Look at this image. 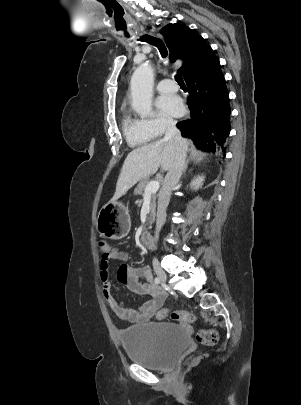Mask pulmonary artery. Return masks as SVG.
Listing matches in <instances>:
<instances>
[{"label":"pulmonary artery","instance_id":"1","mask_svg":"<svg viewBox=\"0 0 301 405\" xmlns=\"http://www.w3.org/2000/svg\"><path fill=\"white\" fill-rule=\"evenodd\" d=\"M156 89L160 93H173L178 91V86L173 80L164 79L157 84Z\"/></svg>","mask_w":301,"mask_h":405}]
</instances>
